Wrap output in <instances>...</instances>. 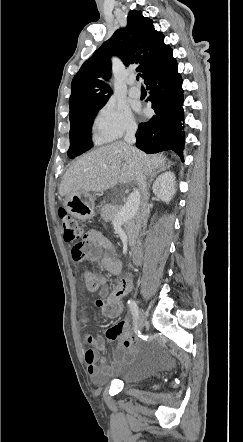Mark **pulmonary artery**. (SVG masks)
Listing matches in <instances>:
<instances>
[{
  "label": "pulmonary artery",
  "mask_w": 243,
  "mask_h": 442,
  "mask_svg": "<svg viewBox=\"0 0 243 442\" xmlns=\"http://www.w3.org/2000/svg\"><path fill=\"white\" fill-rule=\"evenodd\" d=\"M135 83H136L135 78L132 77L129 80V85H130L129 95L133 98H139L141 96V90L139 87L135 85Z\"/></svg>",
  "instance_id": "e3ab8cb5"
}]
</instances>
